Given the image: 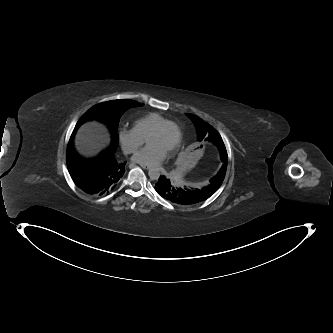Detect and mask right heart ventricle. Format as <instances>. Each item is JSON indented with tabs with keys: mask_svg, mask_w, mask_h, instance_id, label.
Wrapping results in <instances>:
<instances>
[{
	"mask_svg": "<svg viewBox=\"0 0 333 333\" xmlns=\"http://www.w3.org/2000/svg\"><path fill=\"white\" fill-rule=\"evenodd\" d=\"M168 121L171 120L160 113L151 112L137 119L134 122V128L142 137L147 138L152 131Z\"/></svg>",
	"mask_w": 333,
	"mask_h": 333,
	"instance_id": "right-heart-ventricle-1",
	"label": "right heart ventricle"
}]
</instances>
